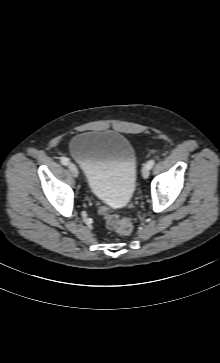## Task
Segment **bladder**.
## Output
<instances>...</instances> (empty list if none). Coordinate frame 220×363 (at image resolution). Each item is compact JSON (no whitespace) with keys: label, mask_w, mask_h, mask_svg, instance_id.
<instances>
[{"label":"bladder","mask_w":220,"mask_h":363,"mask_svg":"<svg viewBox=\"0 0 220 363\" xmlns=\"http://www.w3.org/2000/svg\"><path fill=\"white\" fill-rule=\"evenodd\" d=\"M82 166L92 195L110 207H122L136 186L137 154L124 135L110 131H84L69 145Z\"/></svg>","instance_id":"1"}]
</instances>
